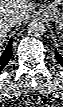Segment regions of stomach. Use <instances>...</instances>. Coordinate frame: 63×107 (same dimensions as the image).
Masks as SVG:
<instances>
[{
	"mask_svg": "<svg viewBox=\"0 0 63 107\" xmlns=\"http://www.w3.org/2000/svg\"><path fill=\"white\" fill-rule=\"evenodd\" d=\"M39 11L54 22L59 31H63V0H55L50 4L41 5Z\"/></svg>",
	"mask_w": 63,
	"mask_h": 107,
	"instance_id": "1",
	"label": "stomach"
}]
</instances>
